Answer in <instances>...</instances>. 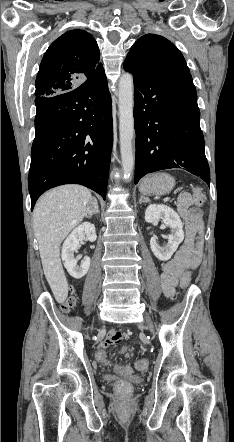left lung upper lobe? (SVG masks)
I'll return each instance as SVG.
<instances>
[{"mask_svg":"<svg viewBox=\"0 0 234 442\" xmlns=\"http://www.w3.org/2000/svg\"><path fill=\"white\" fill-rule=\"evenodd\" d=\"M125 63L147 71H187L186 61L173 43L166 38L147 34L131 47Z\"/></svg>","mask_w":234,"mask_h":442,"instance_id":"left-lung-upper-lobe-1","label":"left lung upper lobe"}]
</instances>
